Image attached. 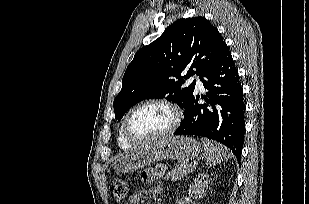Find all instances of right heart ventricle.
Masks as SVG:
<instances>
[{
	"instance_id": "obj_1",
	"label": "right heart ventricle",
	"mask_w": 309,
	"mask_h": 204,
	"mask_svg": "<svg viewBox=\"0 0 309 204\" xmlns=\"http://www.w3.org/2000/svg\"><path fill=\"white\" fill-rule=\"evenodd\" d=\"M119 145L124 148V149H127V148H130L132 146L131 143H129L125 138H124V135H123V132H122V126L120 127V130H119Z\"/></svg>"
}]
</instances>
